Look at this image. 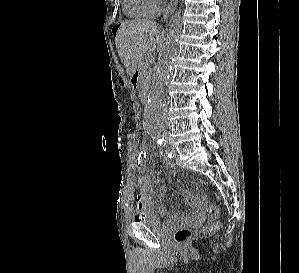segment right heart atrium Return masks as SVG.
Segmentation results:
<instances>
[{"label":"right heart atrium","mask_w":299,"mask_h":273,"mask_svg":"<svg viewBox=\"0 0 299 273\" xmlns=\"http://www.w3.org/2000/svg\"><path fill=\"white\" fill-rule=\"evenodd\" d=\"M160 1L161 0H146L149 7L152 8L153 10H156L159 7Z\"/></svg>","instance_id":"obj_1"}]
</instances>
